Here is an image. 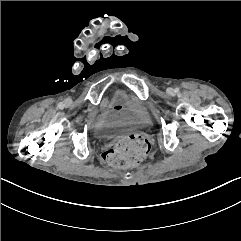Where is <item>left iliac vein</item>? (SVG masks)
<instances>
[{"mask_svg": "<svg viewBox=\"0 0 241 241\" xmlns=\"http://www.w3.org/2000/svg\"><path fill=\"white\" fill-rule=\"evenodd\" d=\"M167 93L173 95L174 94V89L172 87L167 88Z\"/></svg>", "mask_w": 241, "mask_h": 241, "instance_id": "1", "label": "left iliac vein"}]
</instances>
